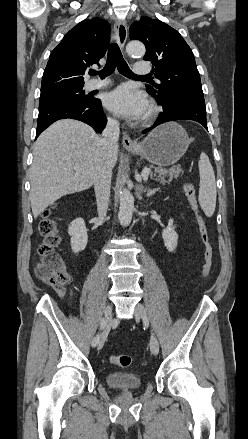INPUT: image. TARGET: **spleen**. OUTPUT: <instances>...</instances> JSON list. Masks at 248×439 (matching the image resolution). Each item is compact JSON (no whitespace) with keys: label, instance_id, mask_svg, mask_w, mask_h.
I'll return each instance as SVG.
<instances>
[{"label":"spleen","instance_id":"3e777b00","mask_svg":"<svg viewBox=\"0 0 248 439\" xmlns=\"http://www.w3.org/2000/svg\"><path fill=\"white\" fill-rule=\"evenodd\" d=\"M200 188L198 200L207 217H211L216 207V182L213 167L208 156L202 152L198 162Z\"/></svg>","mask_w":248,"mask_h":439}]
</instances>
